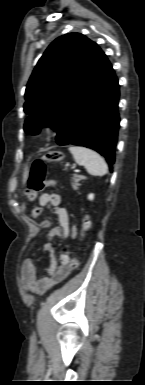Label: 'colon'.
Instances as JSON below:
<instances>
[{"mask_svg":"<svg viewBox=\"0 0 145 385\" xmlns=\"http://www.w3.org/2000/svg\"><path fill=\"white\" fill-rule=\"evenodd\" d=\"M63 159V155L59 151H50L45 153L42 158L35 160L31 163L26 180V194L30 199H35L38 192L42 191L48 182L46 181V169L48 164L59 163ZM39 211L37 210L36 213ZM91 226V220L88 215H85L82 220V224L80 228L75 229V235H77L80 239H83L86 232L89 230ZM64 254L68 253V250H64ZM73 267H77L78 260L73 258L71 260Z\"/></svg>","mask_w":145,"mask_h":385,"instance_id":"1","label":"colon"}]
</instances>
